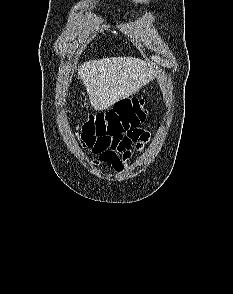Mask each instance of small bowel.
<instances>
[{
  "instance_id": "small-bowel-1",
  "label": "small bowel",
  "mask_w": 233,
  "mask_h": 294,
  "mask_svg": "<svg viewBox=\"0 0 233 294\" xmlns=\"http://www.w3.org/2000/svg\"><path fill=\"white\" fill-rule=\"evenodd\" d=\"M126 136L131 137L128 141V144H126L120 150L100 151L99 160L102 163H106L112 166L115 170H121L123 167V164L117 153L124 152V158H127L129 156L130 147L133 143L140 145L143 142H145L149 137L148 133L143 130H136V132H127Z\"/></svg>"
}]
</instances>
